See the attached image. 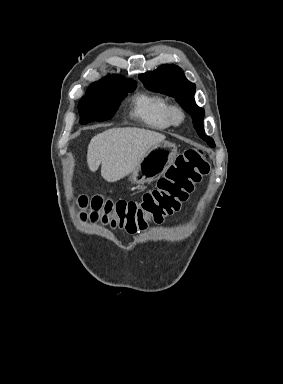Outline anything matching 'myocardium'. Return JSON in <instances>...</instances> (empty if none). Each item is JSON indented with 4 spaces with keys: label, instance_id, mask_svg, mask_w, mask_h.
Listing matches in <instances>:
<instances>
[{
    "label": "myocardium",
    "instance_id": "obj_1",
    "mask_svg": "<svg viewBox=\"0 0 283 384\" xmlns=\"http://www.w3.org/2000/svg\"><path fill=\"white\" fill-rule=\"evenodd\" d=\"M167 118L171 125L179 126L185 120V112L179 105L170 104L167 110Z\"/></svg>",
    "mask_w": 283,
    "mask_h": 384
}]
</instances>
